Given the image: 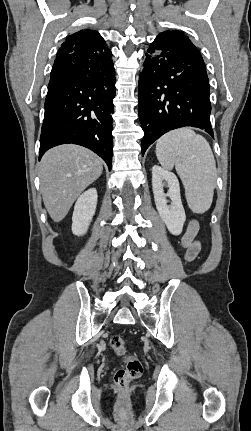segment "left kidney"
Returning <instances> with one entry per match:
<instances>
[{
	"label": "left kidney",
	"instance_id": "obj_1",
	"mask_svg": "<svg viewBox=\"0 0 251 431\" xmlns=\"http://www.w3.org/2000/svg\"><path fill=\"white\" fill-rule=\"evenodd\" d=\"M164 182L169 190L164 193ZM152 187L154 200L158 213L169 232L173 235H180L186 220L185 211L181 201L180 186L176 175L159 165L152 167ZM166 197L171 200V205H167Z\"/></svg>",
	"mask_w": 251,
	"mask_h": 431
}]
</instances>
